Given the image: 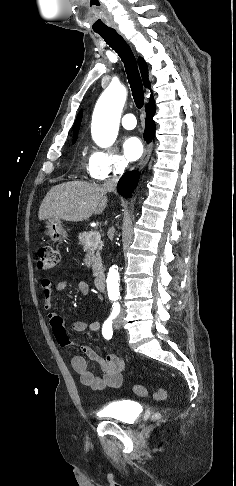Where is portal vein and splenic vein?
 Returning a JSON list of instances; mask_svg holds the SVG:
<instances>
[{
	"mask_svg": "<svg viewBox=\"0 0 236 486\" xmlns=\"http://www.w3.org/2000/svg\"><path fill=\"white\" fill-rule=\"evenodd\" d=\"M94 235H95V238H96L97 241L101 240V236H100V233L98 231H95Z\"/></svg>",
	"mask_w": 236,
	"mask_h": 486,
	"instance_id": "portal-vein-and-splenic-vein-1",
	"label": "portal vein and splenic vein"
}]
</instances>
